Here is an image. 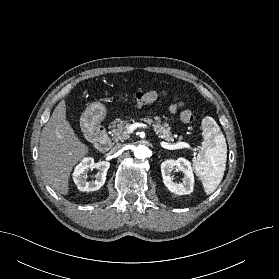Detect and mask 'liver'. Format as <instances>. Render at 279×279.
Here are the masks:
<instances>
[{
	"label": "liver",
	"instance_id": "6515ba94",
	"mask_svg": "<svg viewBox=\"0 0 279 279\" xmlns=\"http://www.w3.org/2000/svg\"><path fill=\"white\" fill-rule=\"evenodd\" d=\"M39 142V165L44 178L55 191L68 194L71 171L89 153V148L66 120L64 100L43 127Z\"/></svg>",
	"mask_w": 279,
	"mask_h": 279
}]
</instances>
